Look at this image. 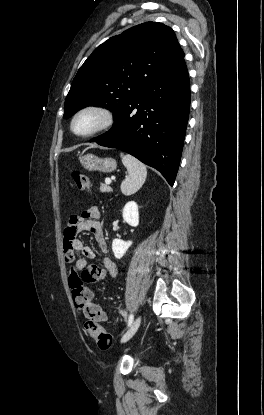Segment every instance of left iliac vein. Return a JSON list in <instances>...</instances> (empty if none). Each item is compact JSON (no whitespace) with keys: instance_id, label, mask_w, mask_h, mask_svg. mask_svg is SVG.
<instances>
[{"instance_id":"obj_1","label":"left iliac vein","mask_w":264,"mask_h":415,"mask_svg":"<svg viewBox=\"0 0 264 415\" xmlns=\"http://www.w3.org/2000/svg\"><path fill=\"white\" fill-rule=\"evenodd\" d=\"M142 316H138L134 322L130 325L129 329L125 332V334L121 338V343L127 342L138 330L141 324Z\"/></svg>"}]
</instances>
